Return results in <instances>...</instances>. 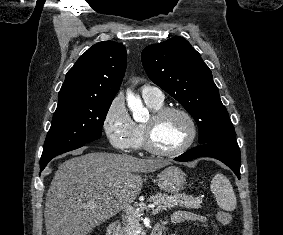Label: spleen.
<instances>
[{"label":"spleen","instance_id":"obj_1","mask_svg":"<svg viewBox=\"0 0 283 235\" xmlns=\"http://www.w3.org/2000/svg\"><path fill=\"white\" fill-rule=\"evenodd\" d=\"M210 189L214 194L218 206L226 211H233L237 206L233 187L226 176L216 174L211 181Z\"/></svg>","mask_w":283,"mask_h":235}]
</instances>
